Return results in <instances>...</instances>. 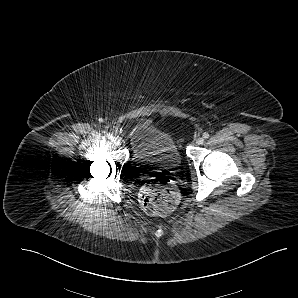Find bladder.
Returning a JSON list of instances; mask_svg holds the SVG:
<instances>
[{
    "label": "bladder",
    "mask_w": 298,
    "mask_h": 298,
    "mask_svg": "<svg viewBox=\"0 0 298 298\" xmlns=\"http://www.w3.org/2000/svg\"><path fill=\"white\" fill-rule=\"evenodd\" d=\"M132 158L136 162L177 168L180 152L170 134L148 121L136 122L128 135Z\"/></svg>",
    "instance_id": "obj_1"
}]
</instances>
